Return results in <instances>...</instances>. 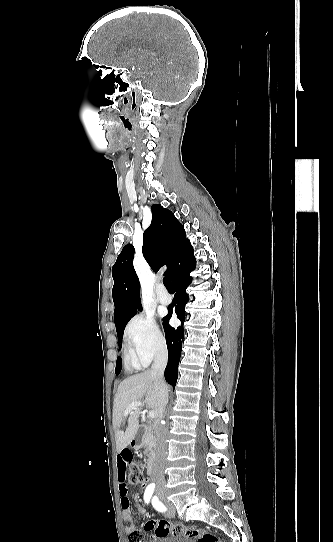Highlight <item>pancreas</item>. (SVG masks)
<instances>
[{"label": "pancreas", "mask_w": 333, "mask_h": 542, "mask_svg": "<svg viewBox=\"0 0 333 542\" xmlns=\"http://www.w3.org/2000/svg\"><path fill=\"white\" fill-rule=\"evenodd\" d=\"M146 442H147V446L145 448L144 454L145 456H148V458H154L155 456L154 448L156 446V438H155L154 430H152L151 436L147 438Z\"/></svg>", "instance_id": "1"}]
</instances>
